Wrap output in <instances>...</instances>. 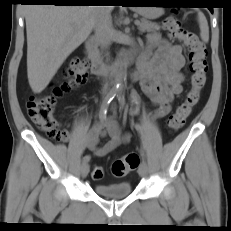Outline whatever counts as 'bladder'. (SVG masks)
<instances>
[{
	"label": "bladder",
	"instance_id": "obj_1",
	"mask_svg": "<svg viewBox=\"0 0 231 231\" xmlns=\"http://www.w3.org/2000/svg\"><path fill=\"white\" fill-rule=\"evenodd\" d=\"M95 192L109 199H120L130 195L132 187L129 182H119L113 184L97 183L94 186Z\"/></svg>",
	"mask_w": 231,
	"mask_h": 231
}]
</instances>
